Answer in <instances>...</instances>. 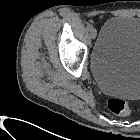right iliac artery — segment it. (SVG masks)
Returning <instances> with one entry per match:
<instances>
[{
  "label": "right iliac artery",
  "instance_id": "1",
  "mask_svg": "<svg viewBox=\"0 0 140 140\" xmlns=\"http://www.w3.org/2000/svg\"><path fill=\"white\" fill-rule=\"evenodd\" d=\"M87 28H88V30H91V29H93V25H92V24H89V25L87 26Z\"/></svg>",
  "mask_w": 140,
  "mask_h": 140
}]
</instances>
